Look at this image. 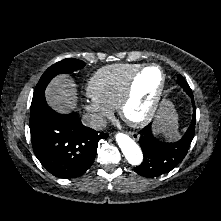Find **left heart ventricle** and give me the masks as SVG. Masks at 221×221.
Instances as JSON below:
<instances>
[{
  "label": "left heart ventricle",
  "mask_w": 221,
  "mask_h": 221,
  "mask_svg": "<svg viewBox=\"0 0 221 221\" xmlns=\"http://www.w3.org/2000/svg\"><path fill=\"white\" fill-rule=\"evenodd\" d=\"M160 73L156 68L147 69L136 80L134 99L127 113L132 118L143 116L149 109L160 85Z\"/></svg>",
  "instance_id": "obj_1"
}]
</instances>
